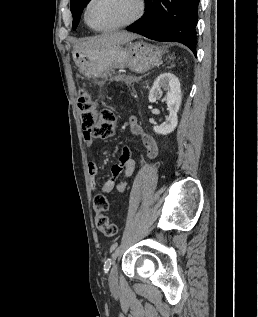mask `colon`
<instances>
[{"label": "colon", "instance_id": "colon-1", "mask_svg": "<svg viewBox=\"0 0 258 317\" xmlns=\"http://www.w3.org/2000/svg\"><path fill=\"white\" fill-rule=\"evenodd\" d=\"M78 105L82 114L83 129L89 137L106 138L114 133L116 119L111 111L101 107L98 101L85 92H81ZM108 209L107 198L102 194L96 195L94 198L95 225L102 234L112 237L117 234L118 227L106 215Z\"/></svg>", "mask_w": 258, "mask_h": 317}]
</instances>
